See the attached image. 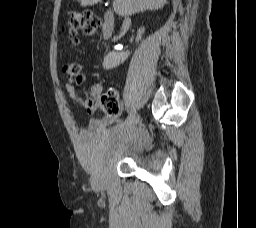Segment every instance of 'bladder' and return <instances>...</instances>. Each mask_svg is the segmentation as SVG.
Segmentation results:
<instances>
[{"mask_svg":"<svg viewBox=\"0 0 256 228\" xmlns=\"http://www.w3.org/2000/svg\"><path fill=\"white\" fill-rule=\"evenodd\" d=\"M146 144L141 133L114 127L101 136L81 135L79 151L94 176L120 160L134 157Z\"/></svg>","mask_w":256,"mask_h":228,"instance_id":"31cf9c89","label":"bladder"}]
</instances>
